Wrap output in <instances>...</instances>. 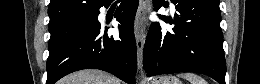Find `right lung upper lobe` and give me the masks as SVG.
I'll use <instances>...</instances> for the list:
<instances>
[{"label":"right lung upper lobe","instance_id":"1","mask_svg":"<svg viewBox=\"0 0 260 84\" xmlns=\"http://www.w3.org/2000/svg\"><path fill=\"white\" fill-rule=\"evenodd\" d=\"M111 0H51L49 28L58 27L81 16L96 13Z\"/></svg>","mask_w":260,"mask_h":84}]
</instances>
